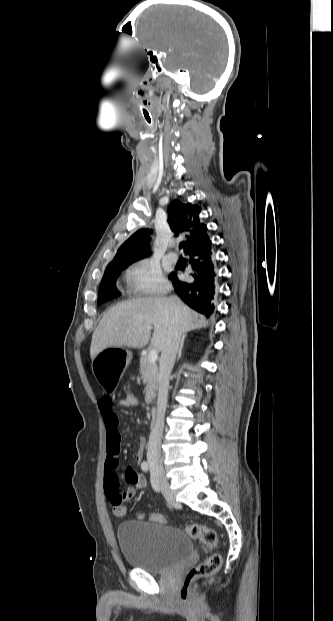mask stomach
Returning a JSON list of instances; mask_svg holds the SVG:
<instances>
[{
	"label": "stomach",
	"mask_w": 333,
	"mask_h": 621,
	"mask_svg": "<svg viewBox=\"0 0 333 621\" xmlns=\"http://www.w3.org/2000/svg\"><path fill=\"white\" fill-rule=\"evenodd\" d=\"M132 359V353L115 344L106 343L98 350L92 362L94 373L100 382V389L106 395H113L119 389L118 378Z\"/></svg>",
	"instance_id": "stomach-1"
}]
</instances>
